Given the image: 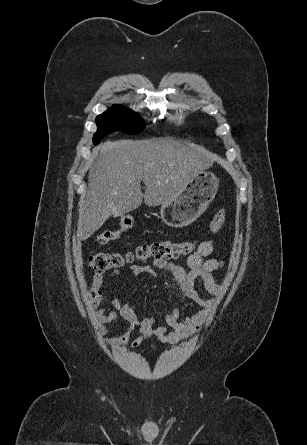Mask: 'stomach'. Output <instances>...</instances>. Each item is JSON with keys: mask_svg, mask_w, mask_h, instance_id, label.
I'll use <instances>...</instances> for the list:
<instances>
[{"mask_svg": "<svg viewBox=\"0 0 307 445\" xmlns=\"http://www.w3.org/2000/svg\"><path fill=\"white\" fill-rule=\"evenodd\" d=\"M219 178L213 172L199 170L186 184L183 192L161 204L160 216L165 225L173 229H182L192 225L211 204L217 188Z\"/></svg>", "mask_w": 307, "mask_h": 445, "instance_id": "1", "label": "stomach"}]
</instances>
